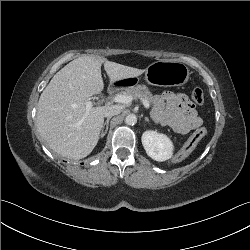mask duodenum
<instances>
[{
	"label": "duodenum",
	"instance_id": "1",
	"mask_svg": "<svg viewBox=\"0 0 250 250\" xmlns=\"http://www.w3.org/2000/svg\"><path fill=\"white\" fill-rule=\"evenodd\" d=\"M117 85H121V83H118ZM113 90H114V87H111L110 91H113Z\"/></svg>",
	"mask_w": 250,
	"mask_h": 250
}]
</instances>
